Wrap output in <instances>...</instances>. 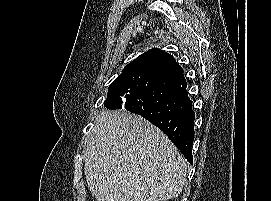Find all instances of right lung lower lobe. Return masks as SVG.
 Segmentation results:
<instances>
[{"mask_svg": "<svg viewBox=\"0 0 271 201\" xmlns=\"http://www.w3.org/2000/svg\"><path fill=\"white\" fill-rule=\"evenodd\" d=\"M149 72L144 91L124 98L119 109L139 114L161 129L192 164L195 115L183 69L168 54Z\"/></svg>", "mask_w": 271, "mask_h": 201, "instance_id": "right-lung-lower-lobe-1", "label": "right lung lower lobe"}]
</instances>
